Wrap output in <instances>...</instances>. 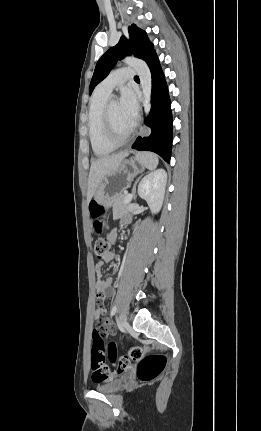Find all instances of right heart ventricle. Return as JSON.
Here are the masks:
<instances>
[{"label": "right heart ventricle", "mask_w": 261, "mask_h": 431, "mask_svg": "<svg viewBox=\"0 0 261 431\" xmlns=\"http://www.w3.org/2000/svg\"><path fill=\"white\" fill-rule=\"evenodd\" d=\"M109 95L95 90L88 112V134L93 153L103 157L111 154L116 147L110 145L104 136L102 114Z\"/></svg>", "instance_id": "right-heart-ventricle-1"}]
</instances>
